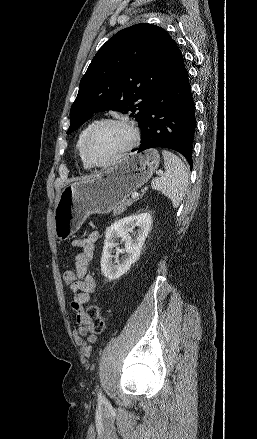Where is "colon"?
<instances>
[{
	"label": "colon",
	"mask_w": 257,
	"mask_h": 439,
	"mask_svg": "<svg viewBox=\"0 0 257 439\" xmlns=\"http://www.w3.org/2000/svg\"><path fill=\"white\" fill-rule=\"evenodd\" d=\"M64 282L68 286H72L76 281V273L72 270H68L63 275ZM86 320L91 324L93 331L97 334L102 333L105 330L106 322L101 314L98 306L90 305L84 310Z\"/></svg>",
	"instance_id": "obj_1"
}]
</instances>
